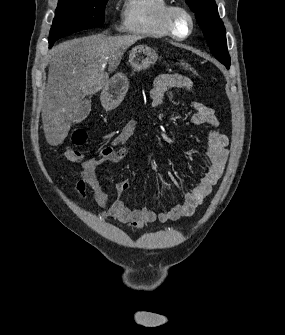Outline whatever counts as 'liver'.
I'll return each instance as SVG.
<instances>
[{
  "label": "liver",
  "instance_id": "6515ba94",
  "mask_svg": "<svg viewBox=\"0 0 285 335\" xmlns=\"http://www.w3.org/2000/svg\"><path fill=\"white\" fill-rule=\"evenodd\" d=\"M142 36H87L51 50L42 124L50 146L67 138L78 104L106 86L109 68L119 66L124 52Z\"/></svg>",
  "mask_w": 285,
  "mask_h": 335
}]
</instances>
